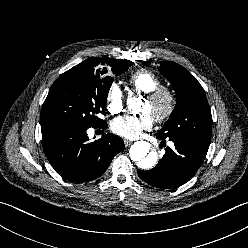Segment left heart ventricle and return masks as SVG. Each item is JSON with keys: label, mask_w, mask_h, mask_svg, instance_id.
Returning <instances> with one entry per match:
<instances>
[{"label": "left heart ventricle", "mask_w": 248, "mask_h": 248, "mask_svg": "<svg viewBox=\"0 0 248 248\" xmlns=\"http://www.w3.org/2000/svg\"><path fill=\"white\" fill-rule=\"evenodd\" d=\"M163 110L162 104H153L149 102L148 100L144 101L142 112L149 113L152 117H154L156 114L160 113Z\"/></svg>", "instance_id": "1"}]
</instances>
